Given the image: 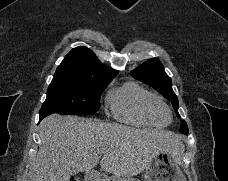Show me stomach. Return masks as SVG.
Returning a JSON list of instances; mask_svg holds the SVG:
<instances>
[{"instance_id":"1","label":"stomach","mask_w":228,"mask_h":181,"mask_svg":"<svg viewBox=\"0 0 228 181\" xmlns=\"http://www.w3.org/2000/svg\"><path fill=\"white\" fill-rule=\"evenodd\" d=\"M144 181H186L171 153H156L149 169H145Z\"/></svg>"}]
</instances>
